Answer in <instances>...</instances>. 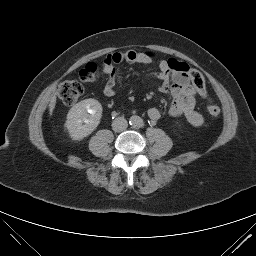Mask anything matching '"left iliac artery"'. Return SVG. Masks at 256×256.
Segmentation results:
<instances>
[{"label":"left iliac artery","instance_id":"44dca946","mask_svg":"<svg viewBox=\"0 0 256 256\" xmlns=\"http://www.w3.org/2000/svg\"><path fill=\"white\" fill-rule=\"evenodd\" d=\"M140 126L142 127V126H143V123H141Z\"/></svg>","mask_w":256,"mask_h":256}]
</instances>
